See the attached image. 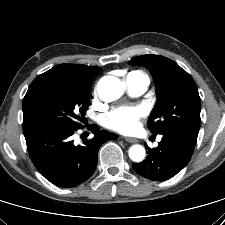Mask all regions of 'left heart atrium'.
<instances>
[{
    "instance_id": "39dd6f15",
    "label": "left heart atrium",
    "mask_w": 225,
    "mask_h": 225,
    "mask_svg": "<svg viewBox=\"0 0 225 225\" xmlns=\"http://www.w3.org/2000/svg\"><path fill=\"white\" fill-rule=\"evenodd\" d=\"M146 114L140 106H123L113 109L105 117L108 128L121 132L130 133L138 128L140 119Z\"/></svg>"
}]
</instances>
